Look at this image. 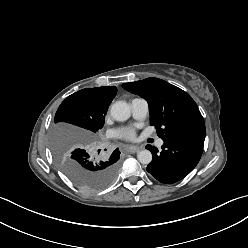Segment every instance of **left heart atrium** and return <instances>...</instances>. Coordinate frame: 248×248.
Listing matches in <instances>:
<instances>
[{
	"label": "left heart atrium",
	"mask_w": 248,
	"mask_h": 248,
	"mask_svg": "<svg viewBox=\"0 0 248 248\" xmlns=\"http://www.w3.org/2000/svg\"><path fill=\"white\" fill-rule=\"evenodd\" d=\"M118 136L125 139H132L135 135V130L132 127L120 128L117 130Z\"/></svg>",
	"instance_id": "39dd6f15"
}]
</instances>
